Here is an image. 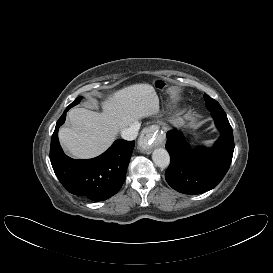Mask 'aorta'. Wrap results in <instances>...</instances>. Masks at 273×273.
<instances>
[{"mask_svg":"<svg viewBox=\"0 0 273 273\" xmlns=\"http://www.w3.org/2000/svg\"><path fill=\"white\" fill-rule=\"evenodd\" d=\"M152 160L158 167L166 168L170 163V156L166 149L157 148L152 153Z\"/></svg>","mask_w":273,"mask_h":273,"instance_id":"aorta-1","label":"aorta"}]
</instances>
